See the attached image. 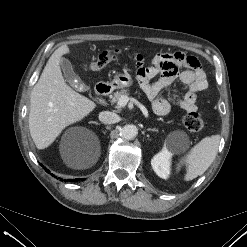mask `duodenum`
Wrapping results in <instances>:
<instances>
[{
  "instance_id": "1",
  "label": "duodenum",
  "mask_w": 247,
  "mask_h": 247,
  "mask_svg": "<svg viewBox=\"0 0 247 247\" xmlns=\"http://www.w3.org/2000/svg\"><path fill=\"white\" fill-rule=\"evenodd\" d=\"M112 90L111 85L106 84V83H100L95 87V93L98 96H104L107 95L108 93H110Z\"/></svg>"
}]
</instances>
